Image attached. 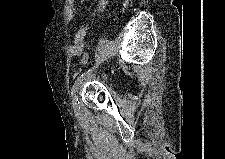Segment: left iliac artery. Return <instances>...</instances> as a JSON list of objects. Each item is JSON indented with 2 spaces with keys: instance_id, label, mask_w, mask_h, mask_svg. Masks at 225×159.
<instances>
[{
  "instance_id": "44dca946",
  "label": "left iliac artery",
  "mask_w": 225,
  "mask_h": 159,
  "mask_svg": "<svg viewBox=\"0 0 225 159\" xmlns=\"http://www.w3.org/2000/svg\"><path fill=\"white\" fill-rule=\"evenodd\" d=\"M91 71H92V69H88L86 72L82 73L77 78V80L75 81V83H74V85L72 86V89H71V96H72L73 99L78 100L77 93H78L79 86L83 82L85 77L90 74Z\"/></svg>"
}]
</instances>
